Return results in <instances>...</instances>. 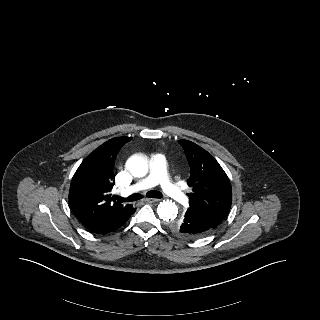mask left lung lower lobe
Segmentation results:
<instances>
[{"label":"left lung lower lobe","instance_id":"left-lung-lower-lobe-1","mask_svg":"<svg viewBox=\"0 0 320 320\" xmlns=\"http://www.w3.org/2000/svg\"><path fill=\"white\" fill-rule=\"evenodd\" d=\"M170 228L175 232L172 228V223L170 224ZM215 228L216 227L212 226L200 215L186 211L185 215L180 220L178 232L188 238L195 239L211 232Z\"/></svg>","mask_w":320,"mask_h":320}]
</instances>
